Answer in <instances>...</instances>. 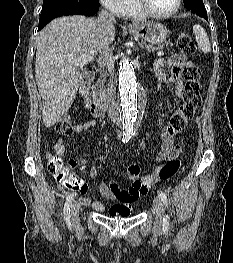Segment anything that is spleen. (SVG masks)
<instances>
[{
    "instance_id": "obj_1",
    "label": "spleen",
    "mask_w": 233,
    "mask_h": 263,
    "mask_svg": "<svg viewBox=\"0 0 233 263\" xmlns=\"http://www.w3.org/2000/svg\"><path fill=\"white\" fill-rule=\"evenodd\" d=\"M193 31L196 36L198 47L204 52L209 53L211 51V45L207 33L200 25H194Z\"/></svg>"
}]
</instances>
